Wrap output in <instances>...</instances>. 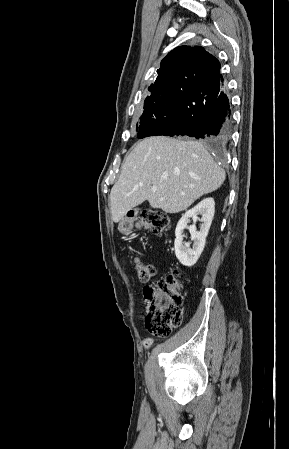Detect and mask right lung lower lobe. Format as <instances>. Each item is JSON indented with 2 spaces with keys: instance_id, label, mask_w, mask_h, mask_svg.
Instances as JSON below:
<instances>
[{
  "instance_id": "1",
  "label": "right lung lower lobe",
  "mask_w": 289,
  "mask_h": 449,
  "mask_svg": "<svg viewBox=\"0 0 289 449\" xmlns=\"http://www.w3.org/2000/svg\"><path fill=\"white\" fill-rule=\"evenodd\" d=\"M172 95L177 115L153 135L190 136L224 142L230 133L231 110L228 90L218 71L211 79L178 81Z\"/></svg>"
}]
</instances>
